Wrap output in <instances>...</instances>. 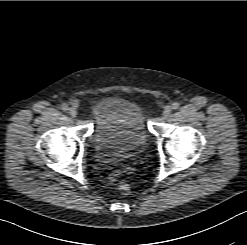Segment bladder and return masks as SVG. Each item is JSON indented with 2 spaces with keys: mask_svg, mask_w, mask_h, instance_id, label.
I'll return each instance as SVG.
<instances>
[{
  "mask_svg": "<svg viewBox=\"0 0 247 245\" xmlns=\"http://www.w3.org/2000/svg\"><path fill=\"white\" fill-rule=\"evenodd\" d=\"M95 113L93 149L99 161L110 163L144 149L148 132L138 104L106 97L97 103Z\"/></svg>",
  "mask_w": 247,
  "mask_h": 245,
  "instance_id": "bladder-1",
  "label": "bladder"
}]
</instances>
